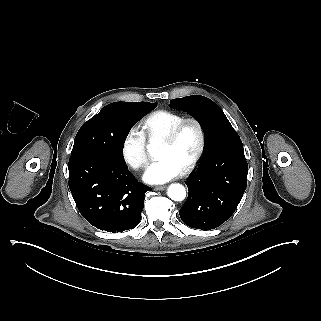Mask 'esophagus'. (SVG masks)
I'll return each instance as SVG.
<instances>
[{
    "label": "esophagus",
    "instance_id": "obj_1",
    "mask_svg": "<svg viewBox=\"0 0 321 321\" xmlns=\"http://www.w3.org/2000/svg\"><path fill=\"white\" fill-rule=\"evenodd\" d=\"M166 188V186H157L154 188L155 191H161L164 190Z\"/></svg>",
    "mask_w": 321,
    "mask_h": 321
}]
</instances>
